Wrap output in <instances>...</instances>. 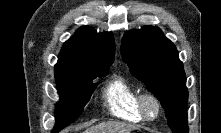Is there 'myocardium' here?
I'll use <instances>...</instances> for the list:
<instances>
[{
	"instance_id": "f54148a6",
	"label": "myocardium",
	"mask_w": 221,
	"mask_h": 133,
	"mask_svg": "<svg viewBox=\"0 0 221 133\" xmlns=\"http://www.w3.org/2000/svg\"><path fill=\"white\" fill-rule=\"evenodd\" d=\"M151 108L153 110H151ZM138 109L142 118L149 122L159 119L162 113L161 103L152 93L140 94L138 98Z\"/></svg>"
}]
</instances>
